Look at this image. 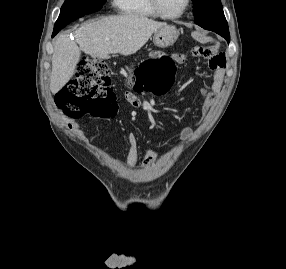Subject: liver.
Masks as SVG:
<instances>
[{"instance_id": "6515ba94", "label": "liver", "mask_w": 286, "mask_h": 269, "mask_svg": "<svg viewBox=\"0 0 286 269\" xmlns=\"http://www.w3.org/2000/svg\"><path fill=\"white\" fill-rule=\"evenodd\" d=\"M165 25L141 15L110 16L83 24L75 32V41L67 35L59 36L52 56L51 92L58 93L71 79L81 51L102 59L116 53L128 56Z\"/></svg>"}]
</instances>
